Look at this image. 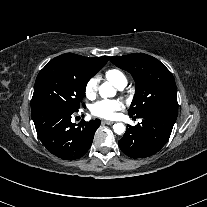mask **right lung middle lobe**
I'll return each mask as SVG.
<instances>
[{
	"label": "right lung middle lobe",
	"mask_w": 207,
	"mask_h": 207,
	"mask_svg": "<svg viewBox=\"0 0 207 207\" xmlns=\"http://www.w3.org/2000/svg\"><path fill=\"white\" fill-rule=\"evenodd\" d=\"M99 70L64 58L52 59L36 78L31 109L57 106L77 112L87 82Z\"/></svg>",
	"instance_id": "dd1d6c3e"
}]
</instances>
